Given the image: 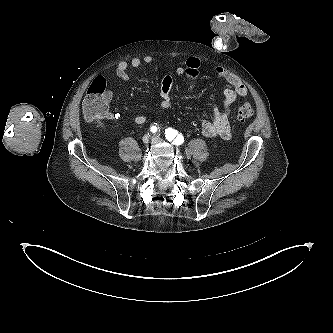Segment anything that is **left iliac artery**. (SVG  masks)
<instances>
[{
	"instance_id": "44dca946",
	"label": "left iliac artery",
	"mask_w": 333,
	"mask_h": 333,
	"mask_svg": "<svg viewBox=\"0 0 333 333\" xmlns=\"http://www.w3.org/2000/svg\"><path fill=\"white\" fill-rule=\"evenodd\" d=\"M165 137L168 141H172L175 145H181L184 142V137L173 128L165 129Z\"/></svg>"
}]
</instances>
